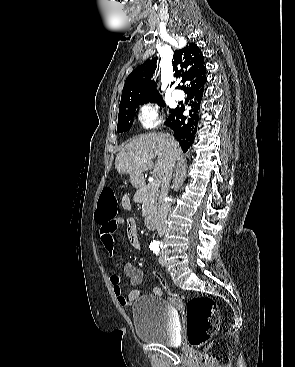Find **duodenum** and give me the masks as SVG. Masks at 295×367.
<instances>
[{
    "mask_svg": "<svg viewBox=\"0 0 295 367\" xmlns=\"http://www.w3.org/2000/svg\"><path fill=\"white\" fill-rule=\"evenodd\" d=\"M156 221H157L156 213H150V214L146 215V217L144 219L145 226L148 229H152L155 226Z\"/></svg>",
    "mask_w": 295,
    "mask_h": 367,
    "instance_id": "obj_1",
    "label": "duodenum"
}]
</instances>
